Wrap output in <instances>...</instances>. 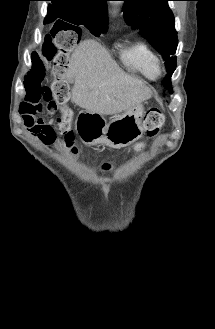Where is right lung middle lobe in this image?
Here are the masks:
<instances>
[{"instance_id": "obj_1", "label": "right lung middle lobe", "mask_w": 215, "mask_h": 329, "mask_svg": "<svg viewBox=\"0 0 215 329\" xmlns=\"http://www.w3.org/2000/svg\"><path fill=\"white\" fill-rule=\"evenodd\" d=\"M52 14L48 12L47 16H51ZM67 27L76 31L78 35H81V29L78 27L79 25H84L93 35L99 37L101 33H105L107 29L99 24H94L92 22H86L84 19L80 18L79 16H69L67 18Z\"/></svg>"}]
</instances>
